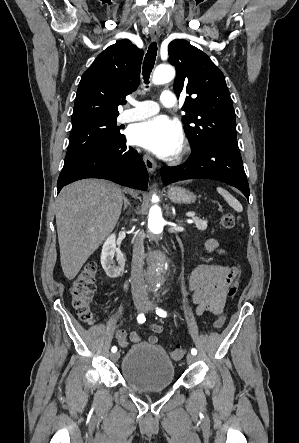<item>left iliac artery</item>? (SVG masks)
<instances>
[{
	"instance_id": "1",
	"label": "left iliac artery",
	"mask_w": 299,
	"mask_h": 443,
	"mask_svg": "<svg viewBox=\"0 0 299 443\" xmlns=\"http://www.w3.org/2000/svg\"><path fill=\"white\" fill-rule=\"evenodd\" d=\"M156 314H157L158 316H160V317H166V316H167L166 311H164V310L161 309V308H156ZM191 353H192L193 355H196V354H197V350H196L195 348H192V349H191Z\"/></svg>"
}]
</instances>
